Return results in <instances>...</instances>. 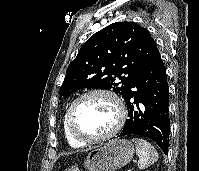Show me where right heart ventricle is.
I'll use <instances>...</instances> for the list:
<instances>
[{"instance_id": "right-heart-ventricle-1", "label": "right heart ventricle", "mask_w": 199, "mask_h": 171, "mask_svg": "<svg viewBox=\"0 0 199 171\" xmlns=\"http://www.w3.org/2000/svg\"><path fill=\"white\" fill-rule=\"evenodd\" d=\"M62 126H63V132H64V136L66 141L68 142V144L72 147H81L84 145V143L76 140L70 133L69 129H68V124H67V112L65 113L64 117H63V121H62Z\"/></svg>"}]
</instances>
